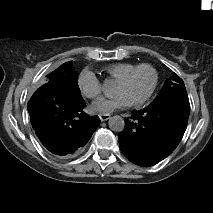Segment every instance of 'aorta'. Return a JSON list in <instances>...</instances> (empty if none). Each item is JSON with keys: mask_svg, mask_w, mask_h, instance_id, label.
<instances>
[{"mask_svg": "<svg viewBox=\"0 0 213 213\" xmlns=\"http://www.w3.org/2000/svg\"><path fill=\"white\" fill-rule=\"evenodd\" d=\"M108 125L110 130L114 132H122L125 127V122L121 116L115 115V116L109 117Z\"/></svg>", "mask_w": 213, "mask_h": 213, "instance_id": "762f6f07", "label": "aorta"}]
</instances>
